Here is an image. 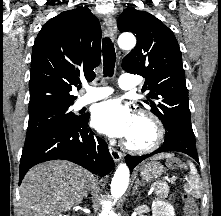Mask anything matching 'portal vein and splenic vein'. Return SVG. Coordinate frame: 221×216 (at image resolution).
<instances>
[{
	"instance_id": "obj_1",
	"label": "portal vein and splenic vein",
	"mask_w": 221,
	"mask_h": 216,
	"mask_svg": "<svg viewBox=\"0 0 221 216\" xmlns=\"http://www.w3.org/2000/svg\"><path fill=\"white\" fill-rule=\"evenodd\" d=\"M169 182H172V180H168ZM157 184H160V183H157ZM152 189H154V188H152Z\"/></svg>"
}]
</instances>
